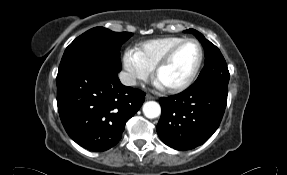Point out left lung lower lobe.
<instances>
[{
  "label": "left lung lower lobe",
  "mask_w": 287,
  "mask_h": 175,
  "mask_svg": "<svg viewBox=\"0 0 287 175\" xmlns=\"http://www.w3.org/2000/svg\"><path fill=\"white\" fill-rule=\"evenodd\" d=\"M228 87L205 85L160 98V139L176 150H190L206 142L217 130L227 104Z\"/></svg>",
  "instance_id": "1"
}]
</instances>
